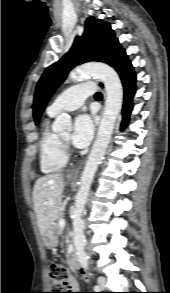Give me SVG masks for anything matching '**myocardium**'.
I'll use <instances>...</instances> for the list:
<instances>
[{
	"label": "myocardium",
	"mask_w": 170,
	"mask_h": 293,
	"mask_svg": "<svg viewBox=\"0 0 170 293\" xmlns=\"http://www.w3.org/2000/svg\"><path fill=\"white\" fill-rule=\"evenodd\" d=\"M58 140L60 143V147L62 149V151L67 154L68 153V146H67V142L65 139L61 138L60 136H58Z\"/></svg>",
	"instance_id": "f54148a6"
}]
</instances>
